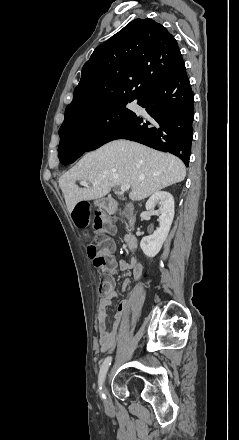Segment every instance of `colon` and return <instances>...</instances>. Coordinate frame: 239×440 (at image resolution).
<instances>
[{
  "label": "colon",
  "instance_id": "5ec220e1",
  "mask_svg": "<svg viewBox=\"0 0 239 440\" xmlns=\"http://www.w3.org/2000/svg\"><path fill=\"white\" fill-rule=\"evenodd\" d=\"M74 221L80 228H86L89 223L88 205L79 203L74 210ZM93 228L96 233L85 230L84 236L90 242L87 252L94 266L100 269L103 280L100 291L106 292L110 285L111 274L116 270L113 258V243L108 238L115 228V218L105 213H97L94 217Z\"/></svg>",
  "mask_w": 239,
  "mask_h": 440
}]
</instances>
